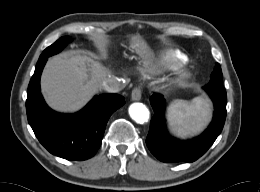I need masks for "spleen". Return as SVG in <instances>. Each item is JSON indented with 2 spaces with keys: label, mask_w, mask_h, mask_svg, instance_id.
<instances>
[{
  "label": "spleen",
  "mask_w": 260,
  "mask_h": 192,
  "mask_svg": "<svg viewBox=\"0 0 260 192\" xmlns=\"http://www.w3.org/2000/svg\"><path fill=\"white\" fill-rule=\"evenodd\" d=\"M210 117V102L202 96L191 102L175 100L167 112L172 133L183 138L201 132L210 121Z\"/></svg>",
  "instance_id": "spleen-1"
}]
</instances>
